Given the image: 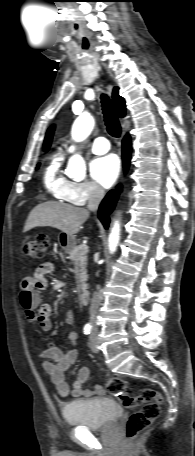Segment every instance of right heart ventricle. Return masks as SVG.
<instances>
[{"label": "right heart ventricle", "instance_id": "e07e8e85", "mask_svg": "<svg viewBox=\"0 0 195 456\" xmlns=\"http://www.w3.org/2000/svg\"><path fill=\"white\" fill-rule=\"evenodd\" d=\"M63 156L54 154L43 172V185L46 191L59 201H68L66 191L70 181L61 171Z\"/></svg>", "mask_w": 195, "mask_h": 456}]
</instances>
